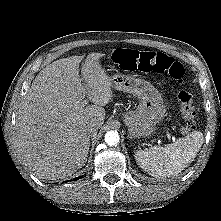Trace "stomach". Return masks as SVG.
Here are the masks:
<instances>
[{"label":"stomach","instance_id":"stomach-1","mask_svg":"<svg viewBox=\"0 0 221 221\" xmlns=\"http://www.w3.org/2000/svg\"><path fill=\"white\" fill-rule=\"evenodd\" d=\"M110 80L114 89L130 93L139 100L135 110L123 115L130 137L140 138L152 134L166 112L158 90L148 81L132 75L114 74Z\"/></svg>","mask_w":221,"mask_h":221}]
</instances>
